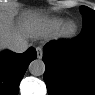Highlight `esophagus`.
<instances>
[{
  "instance_id": "1",
  "label": "esophagus",
  "mask_w": 95,
  "mask_h": 95,
  "mask_svg": "<svg viewBox=\"0 0 95 95\" xmlns=\"http://www.w3.org/2000/svg\"><path fill=\"white\" fill-rule=\"evenodd\" d=\"M36 51H37V58L41 59L43 57L42 47L40 46L36 47Z\"/></svg>"
}]
</instances>
